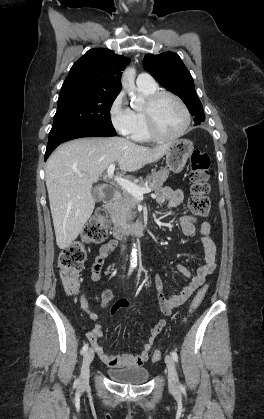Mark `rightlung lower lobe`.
Masks as SVG:
<instances>
[{
    "label": "right lung lower lobe",
    "instance_id": "1",
    "mask_svg": "<svg viewBox=\"0 0 264 419\" xmlns=\"http://www.w3.org/2000/svg\"><path fill=\"white\" fill-rule=\"evenodd\" d=\"M116 132L106 131V130H100V129H79L72 131L70 133L65 134L61 138H59L56 141L50 142L47 145L46 153H45V161L49 157V155L52 153V151L61 143L81 138V137H93V136H100V137H110L115 136Z\"/></svg>",
    "mask_w": 264,
    "mask_h": 419
}]
</instances>
